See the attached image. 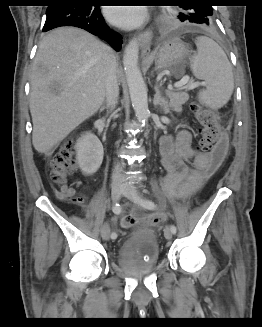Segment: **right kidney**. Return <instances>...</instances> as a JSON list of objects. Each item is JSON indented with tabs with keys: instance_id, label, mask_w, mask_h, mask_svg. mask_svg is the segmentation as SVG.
Masks as SVG:
<instances>
[{
	"instance_id": "ca27d5eb",
	"label": "right kidney",
	"mask_w": 262,
	"mask_h": 327,
	"mask_svg": "<svg viewBox=\"0 0 262 327\" xmlns=\"http://www.w3.org/2000/svg\"><path fill=\"white\" fill-rule=\"evenodd\" d=\"M77 162L85 175L94 174L102 164L104 150L102 143L92 133H86L77 144Z\"/></svg>"
}]
</instances>
